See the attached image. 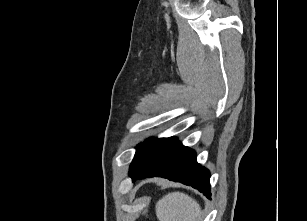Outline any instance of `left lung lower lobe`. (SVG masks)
Listing matches in <instances>:
<instances>
[{"instance_id": "1", "label": "left lung lower lobe", "mask_w": 307, "mask_h": 221, "mask_svg": "<svg viewBox=\"0 0 307 221\" xmlns=\"http://www.w3.org/2000/svg\"><path fill=\"white\" fill-rule=\"evenodd\" d=\"M177 141L139 172L133 181L159 176L192 186L204 195L211 196L209 171L197 163L195 152L192 149L177 143Z\"/></svg>"}]
</instances>
